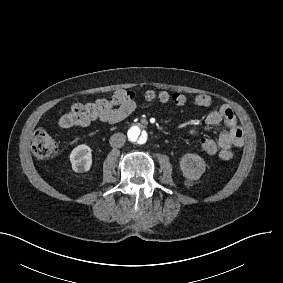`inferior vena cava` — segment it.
<instances>
[{
  "instance_id": "1",
  "label": "inferior vena cava",
  "mask_w": 283,
  "mask_h": 283,
  "mask_svg": "<svg viewBox=\"0 0 283 283\" xmlns=\"http://www.w3.org/2000/svg\"><path fill=\"white\" fill-rule=\"evenodd\" d=\"M126 137L123 133H115L111 136L109 142L113 148H121L124 146Z\"/></svg>"
}]
</instances>
